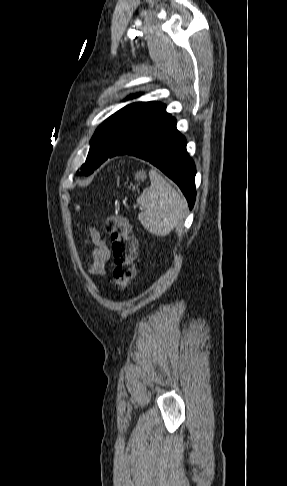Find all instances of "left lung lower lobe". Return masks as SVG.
I'll list each match as a JSON object with an SVG mask.
<instances>
[{"instance_id":"0a47b994","label":"left lung lower lobe","mask_w":287,"mask_h":486,"mask_svg":"<svg viewBox=\"0 0 287 486\" xmlns=\"http://www.w3.org/2000/svg\"><path fill=\"white\" fill-rule=\"evenodd\" d=\"M150 162L180 187L189 208L195 202V164L186 151V139L176 129V120L170 117L144 143L126 153Z\"/></svg>"}]
</instances>
